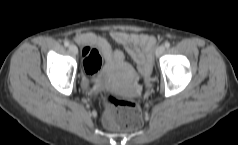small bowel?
Listing matches in <instances>:
<instances>
[{"instance_id":"c3829d8e","label":"small bowel","mask_w":238,"mask_h":145,"mask_svg":"<svg viewBox=\"0 0 238 145\" xmlns=\"http://www.w3.org/2000/svg\"><path fill=\"white\" fill-rule=\"evenodd\" d=\"M109 37L124 47L129 58L137 66L143 81H149L152 71V53L156 45L155 38L144 33H129L122 30L111 31ZM75 40L81 45L95 48L110 63H120L125 59L122 51L111 48L105 36L90 32L78 33Z\"/></svg>"}]
</instances>
